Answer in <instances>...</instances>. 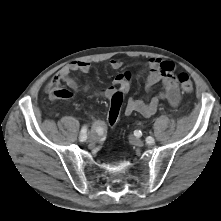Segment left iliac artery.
<instances>
[{
    "label": "left iliac artery",
    "instance_id": "1",
    "mask_svg": "<svg viewBox=\"0 0 221 221\" xmlns=\"http://www.w3.org/2000/svg\"><path fill=\"white\" fill-rule=\"evenodd\" d=\"M146 142H147L148 144H152V143H153V138H152L151 136L147 137V138H146Z\"/></svg>",
    "mask_w": 221,
    "mask_h": 221
}]
</instances>
